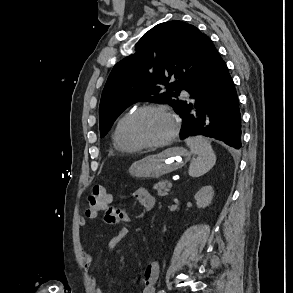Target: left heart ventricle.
<instances>
[{
	"mask_svg": "<svg viewBox=\"0 0 293 293\" xmlns=\"http://www.w3.org/2000/svg\"><path fill=\"white\" fill-rule=\"evenodd\" d=\"M172 123L167 115L159 111H147L140 114L133 126L134 135L146 142H156L167 137Z\"/></svg>",
	"mask_w": 293,
	"mask_h": 293,
	"instance_id": "obj_1",
	"label": "left heart ventricle"
}]
</instances>
